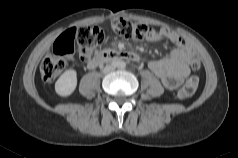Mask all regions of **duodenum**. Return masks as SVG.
I'll use <instances>...</instances> for the list:
<instances>
[{
  "label": "duodenum",
  "mask_w": 238,
  "mask_h": 158,
  "mask_svg": "<svg viewBox=\"0 0 238 158\" xmlns=\"http://www.w3.org/2000/svg\"><path fill=\"white\" fill-rule=\"evenodd\" d=\"M138 61L139 56L133 52L127 51H113L105 50L97 53L88 63L90 69L96 68L97 66L106 62H117V61Z\"/></svg>",
  "instance_id": "1"
}]
</instances>
